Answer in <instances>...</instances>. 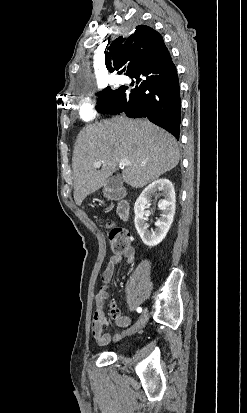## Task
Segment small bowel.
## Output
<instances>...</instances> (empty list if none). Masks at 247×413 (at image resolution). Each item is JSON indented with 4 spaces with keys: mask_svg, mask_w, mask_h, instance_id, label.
Returning <instances> with one entry per match:
<instances>
[{
    "mask_svg": "<svg viewBox=\"0 0 247 413\" xmlns=\"http://www.w3.org/2000/svg\"><path fill=\"white\" fill-rule=\"evenodd\" d=\"M123 259L127 264H133L135 261V250L132 247H129L125 251L121 253H114L110 257L100 278V288L95 295V310L93 314L91 331L96 343L99 346H106L111 340V336L104 331V327L108 324V320L105 315V303L109 297V284L113 278L115 267L120 264ZM109 315L117 326L125 328L123 333L116 334L114 336V340L118 341L127 331L126 328L129 325V319L124 316L123 312L119 311L114 300L109 304Z\"/></svg>",
    "mask_w": 247,
    "mask_h": 413,
    "instance_id": "1",
    "label": "small bowel"
}]
</instances>
